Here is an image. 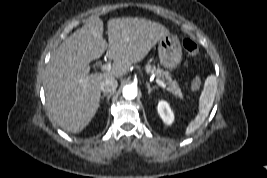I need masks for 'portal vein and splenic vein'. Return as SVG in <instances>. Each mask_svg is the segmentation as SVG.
<instances>
[{"label": "portal vein and splenic vein", "mask_w": 267, "mask_h": 178, "mask_svg": "<svg viewBox=\"0 0 267 178\" xmlns=\"http://www.w3.org/2000/svg\"><path fill=\"white\" fill-rule=\"evenodd\" d=\"M112 69V65L111 64H104V65H102L101 66V70L102 71H110ZM156 82H157V84L159 85V86H161L162 88H164V89H168L167 88V85L162 81V80H160V79H156Z\"/></svg>", "instance_id": "1"}]
</instances>
